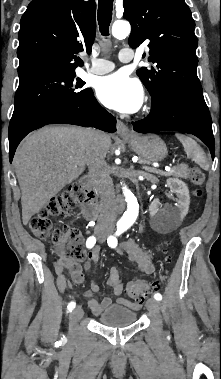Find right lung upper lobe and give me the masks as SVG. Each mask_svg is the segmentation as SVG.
I'll list each match as a JSON object with an SVG mask.
<instances>
[{
  "label": "right lung upper lobe",
  "instance_id": "1",
  "mask_svg": "<svg viewBox=\"0 0 221 379\" xmlns=\"http://www.w3.org/2000/svg\"><path fill=\"white\" fill-rule=\"evenodd\" d=\"M94 0H32L20 22V81L46 73L75 71L91 51L96 33Z\"/></svg>",
  "mask_w": 221,
  "mask_h": 379
}]
</instances>
